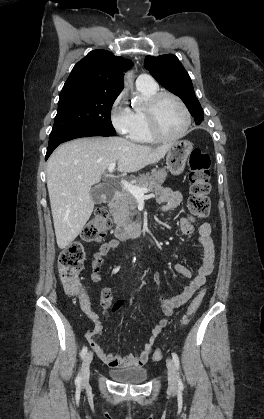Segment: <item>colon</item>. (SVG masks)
<instances>
[{
  "label": "colon",
  "instance_id": "obj_1",
  "mask_svg": "<svg viewBox=\"0 0 264 419\" xmlns=\"http://www.w3.org/2000/svg\"><path fill=\"white\" fill-rule=\"evenodd\" d=\"M210 159L209 156L195 149L189 156L190 197L188 207L196 217H204L210 210L208 194L210 192ZM111 227L109 215L104 210L95 212L82 231L85 242H98L102 240ZM85 260V250L81 242H73L64 248L58 257L59 275L65 292L69 295H80L81 299L88 301L83 293L79 273ZM204 291H201L191 302L182 325H187L202 303ZM163 357L160 349L153 353V360L159 361Z\"/></svg>",
  "mask_w": 264,
  "mask_h": 419
}]
</instances>
